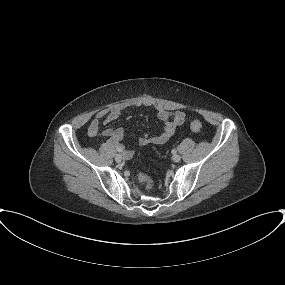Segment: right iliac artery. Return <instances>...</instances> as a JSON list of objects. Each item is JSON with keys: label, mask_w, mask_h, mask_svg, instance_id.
Listing matches in <instances>:
<instances>
[{"label": "right iliac artery", "mask_w": 285, "mask_h": 285, "mask_svg": "<svg viewBox=\"0 0 285 285\" xmlns=\"http://www.w3.org/2000/svg\"><path fill=\"white\" fill-rule=\"evenodd\" d=\"M117 151H118V152H122V149H121V148H117Z\"/></svg>", "instance_id": "obj_1"}]
</instances>
